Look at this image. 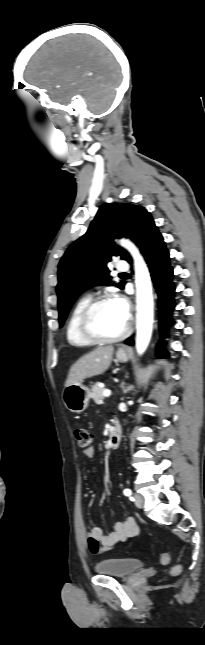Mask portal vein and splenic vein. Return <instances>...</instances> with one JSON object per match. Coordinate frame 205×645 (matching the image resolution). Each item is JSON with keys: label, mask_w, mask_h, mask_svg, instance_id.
Wrapping results in <instances>:
<instances>
[{"label": "portal vein and splenic vein", "mask_w": 205, "mask_h": 645, "mask_svg": "<svg viewBox=\"0 0 205 645\" xmlns=\"http://www.w3.org/2000/svg\"><path fill=\"white\" fill-rule=\"evenodd\" d=\"M103 395H104L105 397H108V396H110V395H111V391H110V390H108V389H106V390H104Z\"/></svg>", "instance_id": "portal-vein-and-splenic-vein-1"}]
</instances>
